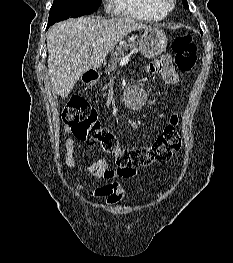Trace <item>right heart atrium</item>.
<instances>
[{"label":"right heart atrium","instance_id":"obj_1","mask_svg":"<svg viewBox=\"0 0 233 263\" xmlns=\"http://www.w3.org/2000/svg\"><path fill=\"white\" fill-rule=\"evenodd\" d=\"M105 1H106V3H107V4H106V5H107V7H108V8H110V7H111V4H110V2H111L112 0H105Z\"/></svg>","mask_w":233,"mask_h":263}]
</instances>
